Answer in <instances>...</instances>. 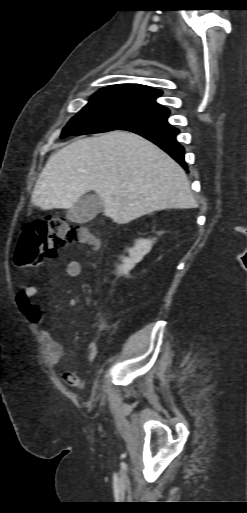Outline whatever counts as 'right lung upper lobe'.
Segmentation results:
<instances>
[{
	"instance_id": "1",
	"label": "right lung upper lobe",
	"mask_w": 247,
	"mask_h": 513,
	"mask_svg": "<svg viewBox=\"0 0 247 513\" xmlns=\"http://www.w3.org/2000/svg\"><path fill=\"white\" fill-rule=\"evenodd\" d=\"M103 89L128 92L153 105H158L156 99L162 94L161 90L140 84H119Z\"/></svg>"
}]
</instances>
